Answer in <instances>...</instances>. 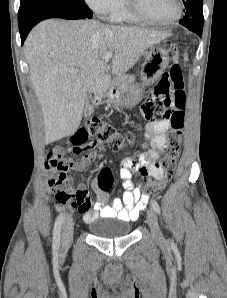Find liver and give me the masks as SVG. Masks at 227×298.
Instances as JSON below:
<instances>
[{
	"label": "liver",
	"mask_w": 227,
	"mask_h": 298,
	"mask_svg": "<svg viewBox=\"0 0 227 298\" xmlns=\"http://www.w3.org/2000/svg\"><path fill=\"white\" fill-rule=\"evenodd\" d=\"M169 36L168 32L88 19H48L32 29L24 53L42 109L45 144L74 134L82 120L87 92L103 96L110 87L111 76L102 60L105 53L114 52L112 71L120 76L149 47Z\"/></svg>",
	"instance_id": "liver-1"
}]
</instances>
